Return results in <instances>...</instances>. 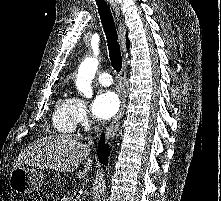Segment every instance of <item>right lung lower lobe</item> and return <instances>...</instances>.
I'll use <instances>...</instances> for the list:
<instances>
[{
	"label": "right lung lower lobe",
	"instance_id": "obj_1",
	"mask_svg": "<svg viewBox=\"0 0 221 201\" xmlns=\"http://www.w3.org/2000/svg\"><path fill=\"white\" fill-rule=\"evenodd\" d=\"M104 136H102L98 143V158L101 163L107 164L108 161V155H109V148L106 144H104Z\"/></svg>",
	"mask_w": 221,
	"mask_h": 201
}]
</instances>
